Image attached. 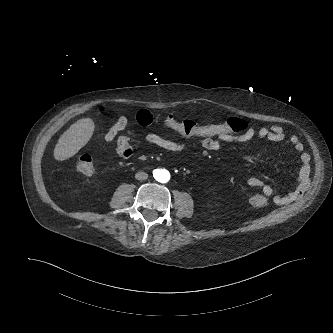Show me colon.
<instances>
[{
  "label": "colon",
  "mask_w": 333,
  "mask_h": 333,
  "mask_svg": "<svg viewBox=\"0 0 333 333\" xmlns=\"http://www.w3.org/2000/svg\"><path fill=\"white\" fill-rule=\"evenodd\" d=\"M164 122L182 136L200 138H222L242 133L248 127L247 122L239 118H229L217 124H200L194 120H178L173 115H168ZM75 169L81 174L92 175L97 171V165L91 156L83 155L77 158ZM248 199L258 208L266 207L268 204V198L263 194H250Z\"/></svg>",
  "instance_id": "5ec220e1"
}]
</instances>
